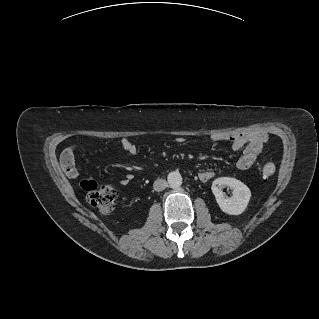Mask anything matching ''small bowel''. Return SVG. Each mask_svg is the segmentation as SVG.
I'll use <instances>...</instances> for the list:
<instances>
[{
	"label": "small bowel",
	"instance_id": "c3829d8e",
	"mask_svg": "<svg viewBox=\"0 0 319 319\" xmlns=\"http://www.w3.org/2000/svg\"><path fill=\"white\" fill-rule=\"evenodd\" d=\"M266 140L265 133L261 131L253 132H229L224 134H215L212 137V143H229L232 150L239 151L243 149V153L238 159L236 166L240 170L249 169L257 160L263 149V143ZM122 148L129 154L137 153L136 145L128 138H122ZM198 179L201 182H208L214 177V172L203 170L198 173ZM132 177L129 175L121 180V185H127Z\"/></svg>",
	"mask_w": 319,
	"mask_h": 319
}]
</instances>
